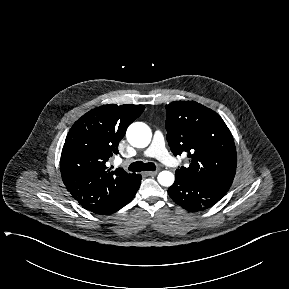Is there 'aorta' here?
Returning <instances> with one entry per match:
<instances>
[{"instance_id": "1", "label": "aorta", "mask_w": 289, "mask_h": 289, "mask_svg": "<svg viewBox=\"0 0 289 289\" xmlns=\"http://www.w3.org/2000/svg\"><path fill=\"white\" fill-rule=\"evenodd\" d=\"M151 136L150 128L143 122H135L127 130V140L134 147L143 148L147 146ZM157 179L160 185L169 187L174 182V175L169 171H162Z\"/></svg>"}]
</instances>
